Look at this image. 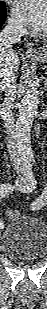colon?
<instances>
[{"label":"colon","mask_w":47,"mask_h":309,"mask_svg":"<svg viewBox=\"0 0 47 309\" xmlns=\"http://www.w3.org/2000/svg\"><path fill=\"white\" fill-rule=\"evenodd\" d=\"M5 214H6V216H7L8 218H13V217L16 216V212H14V211H12V210H7V211L5 212Z\"/></svg>","instance_id":"5ec220e1"}]
</instances>
